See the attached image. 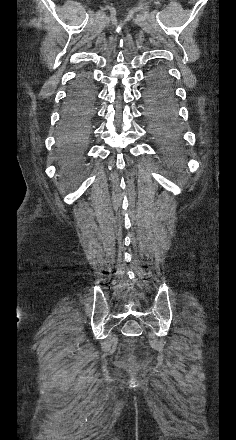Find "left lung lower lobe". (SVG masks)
I'll use <instances>...</instances> for the list:
<instances>
[{
	"mask_svg": "<svg viewBox=\"0 0 236 440\" xmlns=\"http://www.w3.org/2000/svg\"><path fill=\"white\" fill-rule=\"evenodd\" d=\"M144 98L150 131L164 141L173 140L177 133V106L174 89L164 69L156 68L149 74Z\"/></svg>",
	"mask_w": 236,
	"mask_h": 440,
	"instance_id": "left-lung-lower-lobe-1",
	"label": "left lung lower lobe"
}]
</instances>
